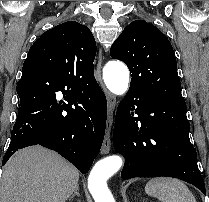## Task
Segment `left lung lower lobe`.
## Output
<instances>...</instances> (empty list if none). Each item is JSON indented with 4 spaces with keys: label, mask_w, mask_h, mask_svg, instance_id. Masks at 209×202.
Segmentation results:
<instances>
[{
    "label": "left lung lower lobe",
    "mask_w": 209,
    "mask_h": 202,
    "mask_svg": "<svg viewBox=\"0 0 209 202\" xmlns=\"http://www.w3.org/2000/svg\"><path fill=\"white\" fill-rule=\"evenodd\" d=\"M134 110L138 117L132 116ZM186 111V104L127 92L117 108L113 131V146L125 158L122 179L174 177L206 194L197 154L189 139Z\"/></svg>",
    "instance_id": "obj_1"
}]
</instances>
